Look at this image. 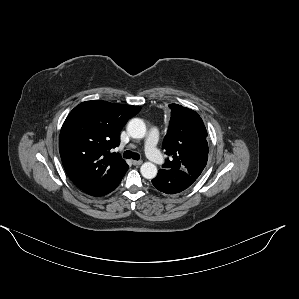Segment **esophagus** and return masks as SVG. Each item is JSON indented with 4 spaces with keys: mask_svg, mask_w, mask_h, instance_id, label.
I'll list each match as a JSON object with an SVG mask.
<instances>
[{
    "mask_svg": "<svg viewBox=\"0 0 299 299\" xmlns=\"http://www.w3.org/2000/svg\"><path fill=\"white\" fill-rule=\"evenodd\" d=\"M133 165L138 166L142 164V160H132Z\"/></svg>",
    "mask_w": 299,
    "mask_h": 299,
    "instance_id": "obj_1",
    "label": "esophagus"
}]
</instances>
